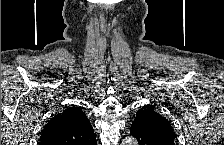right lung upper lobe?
<instances>
[{
  "label": "right lung upper lobe",
  "mask_w": 224,
  "mask_h": 145,
  "mask_svg": "<svg viewBox=\"0 0 224 145\" xmlns=\"http://www.w3.org/2000/svg\"><path fill=\"white\" fill-rule=\"evenodd\" d=\"M93 127L77 107L56 114L44 127L41 145H96Z\"/></svg>",
  "instance_id": "1"
}]
</instances>
